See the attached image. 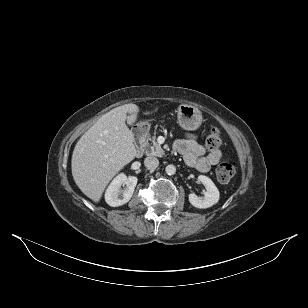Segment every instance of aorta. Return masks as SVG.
Listing matches in <instances>:
<instances>
[{
	"label": "aorta",
	"instance_id": "762f6f07",
	"mask_svg": "<svg viewBox=\"0 0 308 308\" xmlns=\"http://www.w3.org/2000/svg\"><path fill=\"white\" fill-rule=\"evenodd\" d=\"M165 172L168 174V175H174L175 172H176V167L172 164L170 165H167L166 168H165Z\"/></svg>",
	"mask_w": 308,
	"mask_h": 308
}]
</instances>
